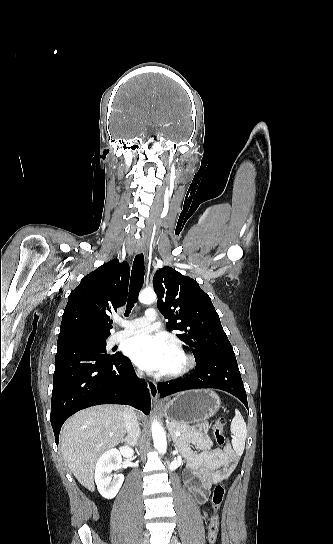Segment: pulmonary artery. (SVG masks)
Wrapping results in <instances>:
<instances>
[{"label": "pulmonary artery", "mask_w": 333, "mask_h": 544, "mask_svg": "<svg viewBox=\"0 0 333 544\" xmlns=\"http://www.w3.org/2000/svg\"><path fill=\"white\" fill-rule=\"evenodd\" d=\"M158 318V312L154 308H148L143 317L135 318L129 321L117 320L122 327L121 330L113 333L109 338V343L114 345L124 338L146 330Z\"/></svg>", "instance_id": "pulmonary-artery-1"}]
</instances>
